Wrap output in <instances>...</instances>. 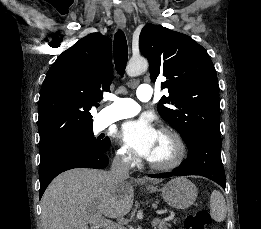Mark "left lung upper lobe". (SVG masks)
I'll return each mask as SVG.
<instances>
[{
  "mask_svg": "<svg viewBox=\"0 0 261 229\" xmlns=\"http://www.w3.org/2000/svg\"><path fill=\"white\" fill-rule=\"evenodd\" d=\"M139 48L149 61L152 82L167 78L161 86L169 96L160 99L158 112L187 146L201 135L220 138L219 86L207 51L191 37L153 24L142 29Z\"/></svg>",
  "mask_w": 261,
  "mask_h": 229,
  "instance_id": "1",
  "label": "left lung upper lobe"
}]
</instances>
